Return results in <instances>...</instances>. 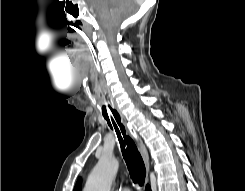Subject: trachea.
I'll use <instances>...</instances> for the list:
<instances>
[{
	"label": "trachea",
	"instance_id": "3493384b",
	"mask_svg": "<svg viewBox=\"0 0 245 191\" xmlns=\"http://www.w3.org/2000/svg\"><path fill=\"white\" fill-rule=\"evenodd\" d=\"M102 115L106 119L109 127L115 131L122 155L128 167L131 179L140 186L144 184L146 169L143 159L134 143L126 134L125 127L121 123L120 115L111 105L106 96H103Z\"/></svg>",
	"mask_w": 245,
	"mask_h": 191
}]
</instances>
